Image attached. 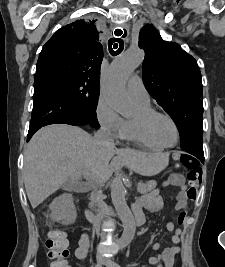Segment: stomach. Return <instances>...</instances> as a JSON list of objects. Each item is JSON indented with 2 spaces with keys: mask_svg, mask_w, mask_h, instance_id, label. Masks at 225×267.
Listing matches in <instances>:
<instances>
[{
  "mask_svg": "<svg viewBox=\"0 0 225 267\" xmlns=\"http://www.w3.org/2000/svg\"><path fill=\"white\" fill-rule=\"evenodd\" d=\"M167 164L168 156L166 154H152L147 156L143 167L147 175H155L162 171Z\"/></svg>",
  "mask_w": 225,
  "mask_h": 267,
  "instance_id": "stomach-1",
  "label": "stomach"
}]
</instances>
